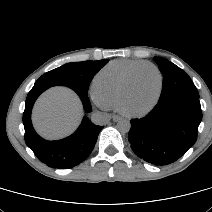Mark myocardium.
I'll list each match as a JSON object with an SVG mask.
<instances>
[{
	"mask_svg": "<svg viewBox=\"0 0 212 212\" xmlns=\"http://www.w3.org/2000/svg\"><path fill=\"white\" fill-rule=\"evenodd\" d=\"M144 68H151L153 69L158 77H159V88H158V92H157V95L154 99V101L152 102V104L146 109V110H143V111H139V112H131V111H127L125 108H124V101H125V98L132 86V83L134 81V78L136 76V74L144 69ZM163 84H164V78H163V74L162 72L160 71V69L150 63V62H147V63H144V64H141L139 66H137L136 68H134L130 74L128 75L127 79L125 80L122 88H121V91H120V94L118 96V100H117V104H116V107L117 109L125 116H128V117H140V116H143L145 115L146 113H148L156 104L157 102L159 101V98L161 96V93H162V89H163Z\"/></svg>",
	"mask_w": 212,
	"mask_h": 212,
	"instance_id": "myocardium-1",
	"label": "myocardium"
}]
</instances>
